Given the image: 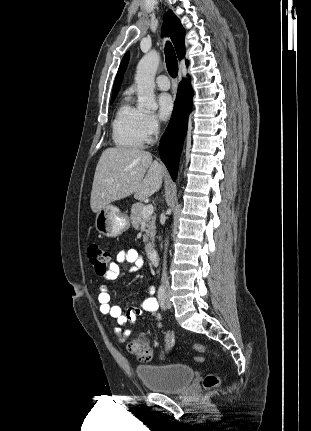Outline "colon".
<instances>
[{"mask_svg":"<svg viewBox=\"0 0 311 431\" xmlns=\"http://www.w3.org/2000/svg\"><path fill=\"white\" fill-rule=\"evenodd\" d=\"M87 254L90 264L94 268L95 272L98 275L104 276L107 273L108 265L111 260V254L109 253V251L98 244H92L89 246ZM125 347L130 354L135 355L138 359L142 361H149L152 359V349L143 337L139 336L128 340L125 344ZM168 349L169 345H165L162 352L163 355ZM193 349L199 353H212L219 358V355L216 352L208 349L202 344H194ZM194 360L197 363H202L204 361V358L202 356H196ZM219 383V378L214 374H209L204 379V387L206 389L214 388L218 386Z\"/></svg>","mask_w":311,"mask_h":431,"instance_id":"colon-1","label":"colon"}]
</instances>
